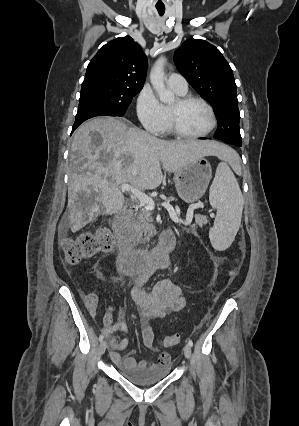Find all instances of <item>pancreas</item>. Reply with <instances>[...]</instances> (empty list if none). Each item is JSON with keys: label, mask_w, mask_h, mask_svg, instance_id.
Listing matches in <instances>:
<instances>
[{"label": "pancreas", "mask_w": 299, "mask_h": 426, "mask_svg": "<svg viewBox=\"0 0 299 426\" xmlns=\"http://www.w3.org/2000/svg\"><path fill=\"white\" fill-rule=\"evenodd\" d=\"M151 215H152L151 210L146 208H141L132 217L131 226L133 231L136 234L138 243H142L143 241H148L152 236L150 230L153 228L151 224V222L153 221V218ZM204 224H207V218L202 215H196L195 224L191 225L188 231L195 233L196 226L198 225L202 227Z\"/></svg>", "instance_id": "obj_1"}]
</instances>
